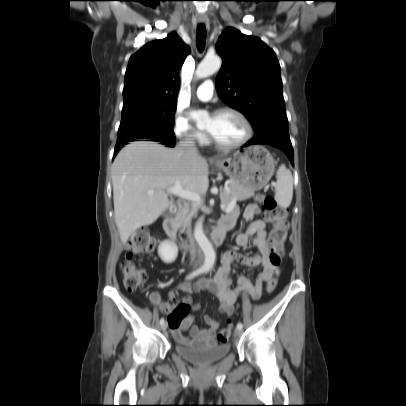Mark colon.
<instances>
[{"label": "colon", "instance_id": "colon-1", "mask_svg": "<svg viewBox=\"0 0 406 406\" xmlns=\"http://www.w3.org/2000/svg\"><path fill=\"white\" fill-rule=\"evenodd\" d=\"M257 200L265 210L267 221L273 226L270 233L271 249L269 260L278 269L282 261V248L288 233L287 211L285 208L278 207L274 198L269 195L259 194ZM127 244L128 252L120 264V271L124 287L128 291H135L148 277L147 270L136 261V258L152 252L155 249L156 243L149 230L141 228L131 234ZM277 284V278H271L267 282V291L273 292ZM189 312L190 309L187 307L177 306L169 316L170 325L177 326ZM231 333L232 326L229 324L217 332V340L224 343L229 339Z\"/></svg>", "mask_w": 406, "mask_h": 406}]
</instances>
